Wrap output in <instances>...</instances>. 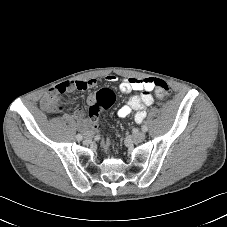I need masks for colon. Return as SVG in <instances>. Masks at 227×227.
Returning a JSON list of instances; mask_svg holds the SVG:
<instances>
[{"label":"colon","mask_w":227,"mask_h":227,"mask_svg":"<svg viewBox=\"0 0 227 227\" xmlns=\"http://www.w3.org/2000/svg\"><path fill=\"white\" fill-rule=\"evenodd\" d=\"M155 87L162 93H169V87L167 83L161 79H154ZM80 90L83 86L79 84L77 86ZM115 101V94L108 88H103L94 95L93 101L89 105L88 114L95 129L98 128L99 115L110 108Z\"/></svg>","instance_id":"colon-1"}]
</instances>
